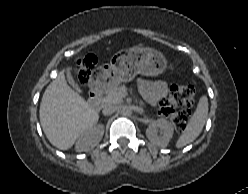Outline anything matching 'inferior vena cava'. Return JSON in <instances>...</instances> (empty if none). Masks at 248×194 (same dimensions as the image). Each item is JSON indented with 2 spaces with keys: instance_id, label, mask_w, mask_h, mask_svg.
Listing matches in <instances>:
<instances>
[{
  "instance_id": "inferior-vena-cava-1",
  "label": "inferior vena cava",
  "mask_w": 248,
  "mask_h": 194,
  "mask_svg": "<svg viewBox=\"0 0 248 194\" xmlns=\"http://www.w3.org/2000/svg\"><path fill=\"white\" fill-rule=\"evenodd\" d=\"M116 110H117V107L116 106H114V105H107V106H105L103 108L102 113L105 116H109V115L113 114L114 112H116Z\"/></svg>"
}]
</instances>
